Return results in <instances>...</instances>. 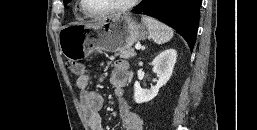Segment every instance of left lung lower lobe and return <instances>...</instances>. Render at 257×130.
Instances as JSON below:
<instances>
[{"label":"left lung lower lobe","mask_w":257,"mask_h":130,"mask_svg":"<svg viewBox=\"0 0 257 130\" xmlns=\"http://www.w3.org/2000/svg\"><path fill=\"white\" fill-rule=\"evenodd\" d=\"M202 0H143L132 11L168 24L193 49L198 30Z\"/></svg>","instance_id":"0a47b994"}]
</instances>
